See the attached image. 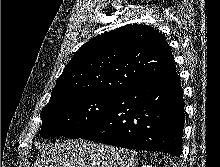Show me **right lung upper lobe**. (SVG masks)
I'll list each match as a JSON object with an SVG mask.
<instances>
[{
  "label": "right lung upper lobe",
  "instance_id": "1",
  "mask_svg": "<svg viewBox=\"0 0 220 167\" xmlns=\"http://www.w3.org/2000/svg\"><path fill=\"white\" fill-rule=\"evenodd\" d=\"M174 71L172 52L161 32L130 24L81 46L58 78L50 100L73 93L118 94Z\"/></svg>",
  "mask_w": 220,
  "mask_h": 167
}]
</instances>
